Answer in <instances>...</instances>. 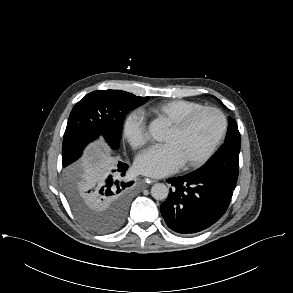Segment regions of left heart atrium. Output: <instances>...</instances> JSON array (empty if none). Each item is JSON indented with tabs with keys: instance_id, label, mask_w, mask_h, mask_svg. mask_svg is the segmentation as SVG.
Segmentation results:
<instances>
[{
	"instance_id": "1",
	"label": "left heart atrium",
	"mask_w": 293,
	"mask_h": 293,
	"mask_svg": "<svg viewBox=\"0 0 293 293\" xmlns=\"http://www.w3.org/2000/svg\"><path fill=\"white\" fill-rule=\"evenodd\" d=\"M183 160L171 144L154 146L141 153L135 161V170L151 177H162L175 172Z\"/></svg>"
}]
</instances>
